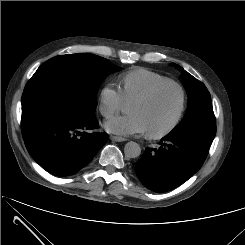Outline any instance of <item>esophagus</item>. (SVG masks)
<instances>
[{
	"instance_id": "1",
	"label": "esophagus",
	"mask_w": 245,
	"mask_h": 245,
	"mask_svg": "<svg viewBox=\"0 0 245 245\" xmlns=\"http://www.w3.org/2000/svg\"><path fill=\"white\" fill-rule=\"evenodd\" d=\"M110 139H111L112 141H116V142H124V141L127 140V139H125V138H123V137H118V136H113V135L110 136Z\"/></svg>"
}]
</instances>
